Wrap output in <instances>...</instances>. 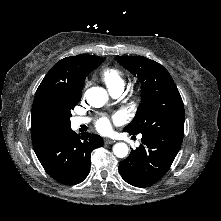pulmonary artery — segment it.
<instances>
[{
    "instance_id": "e3ab8cb5",
    "label": "pulmonary artery",
    "mask_w": 221,
    "mask_h": 221,
    "mask_svg": "<svg viewBox=\"0 0 221 221\" xmlns=\"http://www.w3.org/2000/svg\"><path fill=\"white\" fill-rule=\"evenodd\" d=\"M110 94L114 97V98H118L121 96L122 92H123V88L122 87H119V88H116V89H113L111 91H109ZM74 125L75 126H80L82 124H86L89 122V118H86V117H76L74 119Z\"/></svg>"
}]
</instances>
